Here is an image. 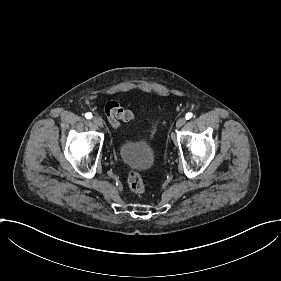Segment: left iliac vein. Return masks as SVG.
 I'll return each instance as SVG.
<instances>
[{"label":"left iliac vein","mask_w":281,"mask_h":281,"mask_svg":"<svg viewBox=\"0 0 281 281\" xmlns=\"http://www.w3.org/2000/svg\"><path fill=\"white\" fill-rule=\"evenodd\" d=\"M185 122H186V120H185L184 117H182V116L179 117L178 120L175 123L176 124L175 129L178 128V127L180 128V126L185 124Z\"/></svg>","instance_id":"obj_1"}]
</instances>
